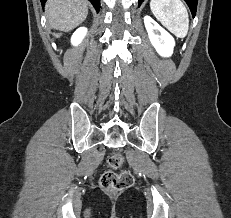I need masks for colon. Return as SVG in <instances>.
<instances>
[{
	"instance_id": "colon-1",
	"label": "colon",
	"mask_w": 231,
	"mask_h": 218,
	"mask_svg": "<svg viewBox=\"0 0 231 218\" xmlns=\"http://www.w3.org/2000/svg\"><path fill=\"white\" fill-rule=\"evenodd\" d=\"M124 163V157L118 152H113L107 159L106 170L100 177L101 188L109 193H116L132 186L133 175L129 171L116 173L113 170L120 168Z\"/></svg>"
}]
</instances>
